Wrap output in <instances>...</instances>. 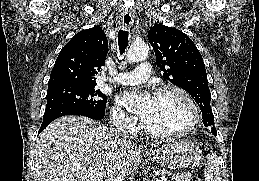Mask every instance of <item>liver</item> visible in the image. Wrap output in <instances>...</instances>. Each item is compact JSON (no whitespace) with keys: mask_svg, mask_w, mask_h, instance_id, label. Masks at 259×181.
Listing matches in <instances>:
<instances>
[{"mask_svg":"<svg viewBox=\"0 0 259 181\" xmlns=\"http://www.w3.org/2000/svg\"><path fill=\"white\" fill-rule=\"evenodd\" d=\"M136 161L133 144L115 129L87 117L64 116L37 139L34 181H107L114 171L125 179Z\"/></svg>","mask_w":259,"mask_h":181,"instance_id":"1","label":"liver"}]
</instances>
